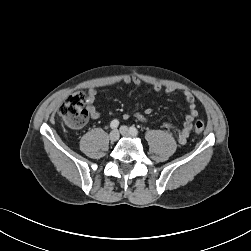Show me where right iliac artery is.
Here are the masks:
<instances>
[{"label":"right iliac artery","instance_id":"82829eb1","mask_svg":"<svg viewBox=\"0 0 251 251\" xmlns=\"http://www.w3.org/2000/svg\"><path fill=\"white\" fill-rule=\"evenodd\" d=\"M118 125H119V121H118L117 119H114V120L111 121V123H110V127H111L112 129H116V128L118 127Z\"/></svg>","mask_w":251,"mask_h":251}]
</instances>
